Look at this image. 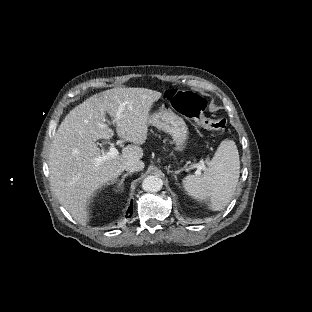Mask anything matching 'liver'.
Listing matches in <instances>:
<instances>
[{
    "mask_svg": "<svg viewBox=\"0 0 312 312\" xmlns=\"http://www.w3.org/2000/svg\"><path fill=\"white\" fill-rule=\"evenodd\" d=\"M161 97V92L146 88H112L88 98L61 122L49 151L50 183L58 201L81 225L89 223L88 207L99 191L116 183L128 162L143 158L150 111ZM106 115L115 119L119 137L134 145L122 148L94 170L95 158L101 155L97 141L113 136Z\"/></svg>",
    "mask_w": 312,
    "mask_h": 312,
    "instance_id": "obj_1",
    "label": "liver"
}]
</instances>
